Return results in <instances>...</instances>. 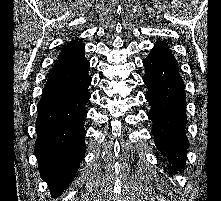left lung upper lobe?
<instances>
[{
  "label": "left lung upper lobe",
  "instance_id": "5c2ea615",
  "mask_svg": "<svg viewBox=\"0 0 221 201\" xmlns=\"http://www.w3.org/2000/svg\"><path fill=\"white\" fill-rule=\"evenodd\" d=\"M150 54L176 62L172 52L168 48L167 44L163 41L157 42Z\"/></svg>",
  "mask_w": 221,
  "mask_h": 201
}]
</instances>
